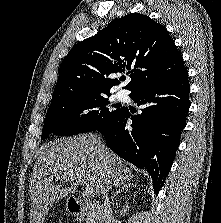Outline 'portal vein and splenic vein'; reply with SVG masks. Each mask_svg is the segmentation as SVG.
Returning a JSON list of instances; mask_svg holds the SVG:
<instances>
[{
  "label": "portal vein and splenic vein",
  "instance_id": "18ae733b",
  "mask_svg": "<svg viewBox=\"0 0 221 223\" xmlns=\"http://www.w3.org/2000/svg\"><path fill=\"white\" fill-rule=\"evenodd\" d=\"M66 180L75 181L77 184H79V185H83V182H82L79 178H77L76 176H74V175H71V176L68 177ZM84 195H85L86 197H88V198L93 197V195H94V190H93V188L87 186V187L85 188V190H84Z\"/></svg>",
  "mask_w": 221,
  "mask_h": 223
}]
</instances>
